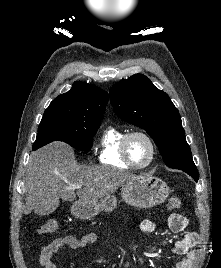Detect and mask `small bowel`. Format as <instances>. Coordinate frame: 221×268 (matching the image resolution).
I'll return each mask as SVG.
<instances>
[{"label":"small bowel","mask_w":221,"mask_h":268,"mask_svg":"<svg viewBox=\"0 0 221 268\" xmlns=\"http://www.w3.org/2000/svg\"><path fill=\"white\" fill-rule=\"evenodd\" d=\"M168 225L172 232L179 233L187 227L188 220L183 215L174 213L169 216ZM140 229L146 234L153 233L156 229V223L151 219H145L141 222ZM96 239L97 235L93 232L86 233L80 237L68 235L56 238L41 249L39 264L44 268H57L54 263V254L61 248H85L94 243ZM197 241L198 235L195 232H189L183 239L176 241L172 245L171 252L176 256L184 257L177 262L174 268H192Z\"/></svg>","instance_id":"c3829d8e"}]
</instances>
